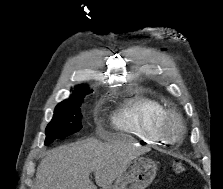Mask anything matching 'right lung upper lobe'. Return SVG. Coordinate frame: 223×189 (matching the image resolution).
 Here are the masks:
<instances>
[{"mask_svg":"<svg viewBox=\"0 0 223 189\" xmlns=\"http://www.w3.org/2000/svg\"><path fill=\"white\" fill-rule=\"evenodd\" d=\"M85 92H89V88L86 85H78L74 88V91L72 93L73 95H77V94H81V93H85Z\"/></svg>","mask_w":223,"mask_h":189,"instance_id":"right-lung-upper-lobe-1","label":"right lung upper lobe"}]
</instances>
